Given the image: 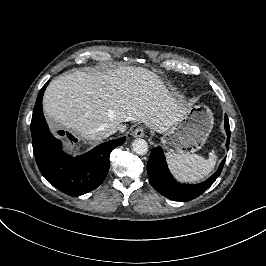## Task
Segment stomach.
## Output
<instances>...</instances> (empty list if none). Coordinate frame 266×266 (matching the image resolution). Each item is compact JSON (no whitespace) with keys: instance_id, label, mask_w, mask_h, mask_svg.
<instances>
[{"instance_id":"1","label":"stomach","mask_w":266,"mask_h":266,"mask_svg":"<svg viewBox=\"0 0 266 266\" xmlns=\"http://www.w3.org/2000/svg\"><path fill=\"white\" fill-rule=\"evenodd\" d=\"M213 126L211 110L196 105L187 111L183 121L172 127L162 138L169 152L190 154L198 151L206 141Z\"/></svg>"}]
</instances>
